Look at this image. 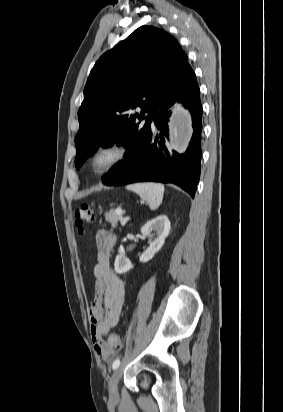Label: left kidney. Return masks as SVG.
Listing matches in <instances>:
<instances>
[{
    "mask_svg": "<svg viewBox=\"0 0 283 412\" xmlns=\"http://www.w3.org/2000/svg\"><path fill=\"white\" fill-rule=\"evenodd\" d=\"M170 228V221L166 215H160L152 219L151 221H148L141 228V233L143 236L153 237V235H155V237L149 239V247L140 256V262H148L162 248L165 243L166 237L169 235ZM132 268L133 265L127 257L121 254L116 256L114 263V269L116 273L123 274Z\"/></svg>",
    "mask_w": 283,
    "mask_h": 412,
    "instance_id": "left-kidney-1",
    "label": "left kidney"
}]
</instances>
